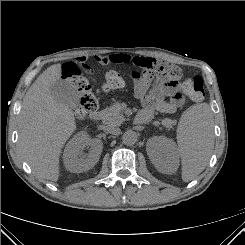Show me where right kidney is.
<instances>
[{
	"label": "right kidney",
	"instance_id": "ca27d5eb",
	"mask_svg": "<svg viewBox=\"0 0 245 245\" xmlns=\"http://www.w3.org/2000/svg\"><path fill=\"white\" fill-rule=\"evenodd\" d=\"M89 148L88 153H84L85 148ZM103 148L100 139H91L89 135L81 131L67 143L63 160L68 171L73 173L85 172L94 167L98 162Z\"/></svg>",
	"mask_w": 245,
	"mask_h": 245
}]
</instances>
